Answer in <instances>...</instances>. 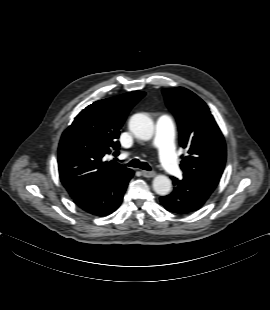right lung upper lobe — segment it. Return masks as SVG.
<instances>
[{"instance_id":"obj_1","label":"right lung upper lobe","mask_w":270,"mask_h":310,"mask_svg":"<svg viewBox=\"0 0 270 310\" xmlns=\"http://www.w3.org/2000/svg\"><path fill=\"white\" fill-rule=\"evenodd\" d=\"M145 95L133 91L99 100L83 109L64 131L58 149L60 180L68 192L95 186L127 169L104 156L118 150L120 129ZM117 154V152H114Z\"/></svg>"}]
</instances>
